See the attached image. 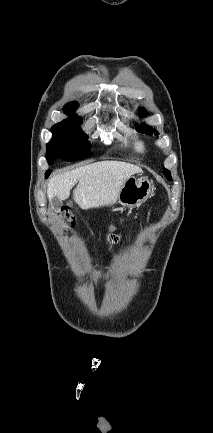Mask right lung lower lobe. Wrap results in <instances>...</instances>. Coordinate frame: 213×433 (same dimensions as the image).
Instances as JSON below:
<instances>
[{
  "mask_svg": "<svg viewBox=\"0 0 213 433\" xmlns=\"http://www.w3.org/2000/svg\"><path fill=\"white\" fill-rule=\"evenodd\" d=\"M49 173H50V172H49V171H47V172H46V175H45V176L47 177V176L49 175Z\"/></svg>",
  "mask_w": 213,
  "mask_h": 433,
  "instance_id": "right-lung-lower-lobe-1",
  "label": "right lung lower lobe"
}]
</instances>
